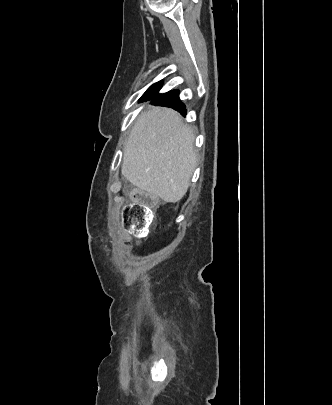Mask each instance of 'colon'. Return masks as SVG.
<instances>
[{
    "label": "colon",
    "mask_w": 332,
    "mask_h": 405,
    "mask_svg": "<svg viewBox=\"0 0 332 405\" xmlns=\"http://www.w3.org/2000/svg\"><path fill=\"white\" fill-rule=\"evenodd\" d=\"M157 199L146 192H139L133 203L127 204L122 210L123 225L138 235L148 233L156 221L153 211Z\"/></svg>",
    "instance_id": "5ec220e1"
}]
</instances>
